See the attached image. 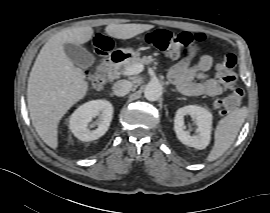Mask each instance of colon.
<instances>
[{"instance_id": "5ec220e1", "label": "colon", "mask_w": 270, "mask_h": 213, "mask_svg": "<svg viewBox=\"0 0 270 213\" xmlns=\"http://www.w3.org/2000/svg\"><path fill=\"white\" fill-rule=\"evenodd\" d=\"M207 37L202 33L191 34L189 32L172 33L165 29H158L146 36V43L165 52L171 57L191 56L201 52ZM94 43L98 54V67L90 74V80L94 86H100L103 82L102 70L105 63L106 52L110 49V40L102 32H96ZM236 57L233 54L226 55L223 60L216 65V71L220 79L227 85L232 86L237 75L234 71ZM243 90L234 87L231 92L217 100V105L222 113L233 111L241 101Z\"/></svg>"}]
</instances>
